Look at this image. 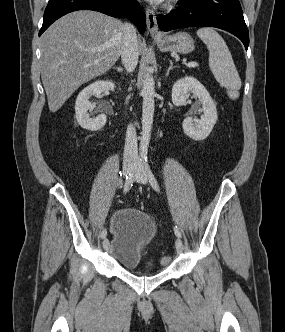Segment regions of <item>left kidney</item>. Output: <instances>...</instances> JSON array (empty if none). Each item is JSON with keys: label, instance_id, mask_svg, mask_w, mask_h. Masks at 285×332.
Wrapping results in <instances>:
<instances>
[{"label": "left kidney", "instance_id": "left-kidney-1", "mask_svg": "<svg viewBox=\"0 0 285 332\" xmlns=\"http://www.w3.org/2000/svg\"><path fill=\"white\" fill-rule=\"evenodd\" d=\"M193 93L202 104L203 114L200 119L188 117L182 127L184 133L193 140H204L211 133L216 121V105L206 88L194 77L186 76L176 81L172 87V102L175 106L187 103L188 94Z\"/></svg>", "mask_w": 285, "mask_h": 332}]
</instances>
